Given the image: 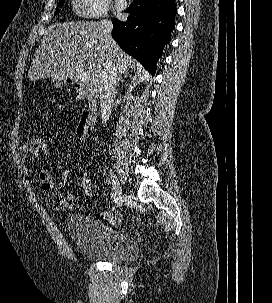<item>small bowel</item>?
I'll return each instance as SVG.
<instances>
[{
    "label": "small bowel",
    "mask_w": 272,
    "mask_h": 303,
    "mask_svg": "<svg viewBox=\"0 0 272 303\" xmlns=\"http://www.w3.org/2000/svg\"><path fill=\"white\" fill-rule=\"evenodd\" d=\"M32 144H33V139L31 138L19 149V156L24 163V172L26 174H28L30 172V170L26 166L25 162L29 157L35 156L33 148H32ZM37 178L40 182L41 190L45 194L53 191L52 188H53V184H54V179H53L51 173L49 172V170L40 169L37 173Z\"/></svg>",
    "instance_id": "1"
}]
</instances>
